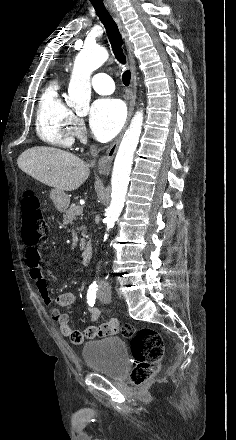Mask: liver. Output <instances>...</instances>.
<instances>
[{"mask_svg": "<svg viewBox=\"0 0 236 440\" xmlns=\"http://www.w3.org/2000/svg\"><path fill=\"white\" fill-rule=\"evenodd\" d=\"M18 167L37 181L61 191L78 189L88 178L89 165L67 151L32 147L17 159Z\"/></svg>", "mask_w": 236, "mask_h": 440, "instance_id": "6515ba94", "label": "liver"}]
</instances>
